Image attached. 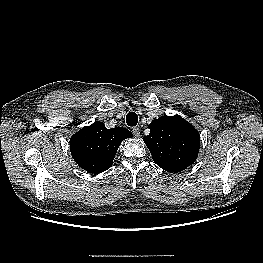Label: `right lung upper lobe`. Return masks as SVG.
Segmentation results:
<instances>
[{
  "label": "right lung upper lobe",
  "instance_id": "1",
  "mask_svg": "<svg viewBox=\"0 0 263 263\" xmlns=\"http://www.w3.org/2000/svg\"><path fill=\"white\" fill-rule=\"evenodd\" d=\"M99 123L96 121L81 134L78 147L73 153L77 163L92 173L107 170L120 143L129 137V131L126 129L117 127L108 130L105 127L100 128Z\"/></svg>",
  "mask_w": 263,
  "mask_h": 263
}]
</instances>
